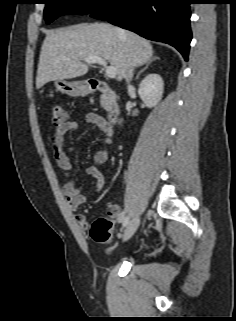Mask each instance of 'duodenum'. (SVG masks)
<instances>
[{"label": "duodenum", "mask_w": 236, "mask_h": 321, "mask_svg": "<svg viewBox=\"0 0 236 321\" xmlns=\"http://www.w3.org/2000/svg\"><path fill=\"white\" fill-rule=\"evenodd\" d=\"M89 89L104 95L107 103V115L111 122H115L120 116L121 110L116 101L114 90L104 81L91 79L88 83Z\"/></svg>", "instance_id": "obj_1"}]
</instances>
